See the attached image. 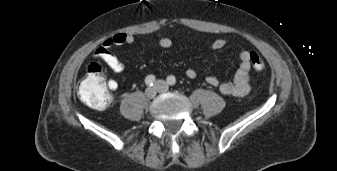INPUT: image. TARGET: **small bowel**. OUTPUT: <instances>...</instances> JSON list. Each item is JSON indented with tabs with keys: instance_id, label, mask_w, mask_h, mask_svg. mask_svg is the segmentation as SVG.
Wrapping results in <instances>:
<instances>
[{
	"instance_id": "small-bowel-1",
	"label": "small bowel",
	"mask_w": 337,
	"mask_h": 171,
	"mask_svg": "<svg viewBox=\"0 0 337 171\" xmlns=\"http://www.w3.org/2000/svg\"><path fill=\"white\" fill-rule=\"evenodd\" d=\"M135 41V37L130 33L120 32L105 39L95 51V57L101 59L113 72L121 73L125 69V64L114 53L111 52L113 46L130 45ZM158 45L162 48H171L173 41L170 38L164 37L159 39ZM228 45L226 39H215L209 43V47L213 50H219ZM250 51L241 50L239 52V67L231 81L221 83L215 75H208L206 82L219 89L224 95L242 97L250 91ZM186 76L193 79L197 76V72L193 68H188L185 72ZM107 85L111 91H116L118 82L114 79H108Z\"/></svg>"
}]
</instances>
